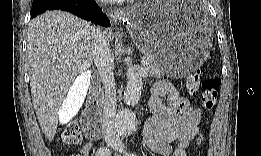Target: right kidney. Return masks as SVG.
Returning <instances> with one entry per match:
<instances>
[{
	"mask_svg": "<svg viewBox=\"0 0 261 156\" xmlns=\"http://www.w3.org/2000/svg\"><path fill=\"white\" fill-rule=\"evenodd\" d=\"M84 95H85V93H84V90H83V91L81 92V94H80V97H79L81 101H83Z\"/></svg>",
	"mask_w": 261,
	"mask_h": 156,
	"instance_id": "ca27d5eb",
	"label": "right kidney"
}]
</instances>
